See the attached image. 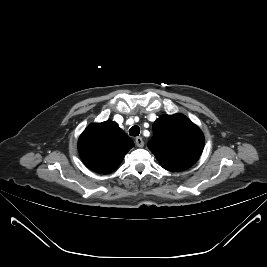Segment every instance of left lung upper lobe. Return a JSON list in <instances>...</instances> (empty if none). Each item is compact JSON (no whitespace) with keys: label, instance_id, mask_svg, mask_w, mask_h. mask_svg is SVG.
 <instances>
[{"label":"left lung upper lobe","instance_id":"5c2ea615","mask_svg":"<svg viewBox=\"0 0 267 267\" xmlns=\"http://www.w3.org/2000/svg\"><path fill=\"white\" fill-rule=\"evenodd\" d=\"M153 132L148 148L166 170L187 169L196 163L202 153V132L182 114L161 116L154 122Z\"/></svg>","mask_w":267,"mask_h":267}]
</instances>
